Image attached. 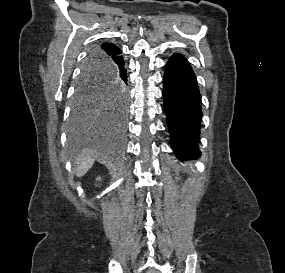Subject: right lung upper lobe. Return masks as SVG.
<instances>
[{"instance_id": "obj_1", "label": "right lung upper lobe", "mask_w": 285, "mask_h": 273, "mask_svg": "<svg viewBox=\"0 0 285 273\" xmlns=\"http://www.w3.org/2000/svg\"><path fill=\"white\" fill-rule=\"evenodd\" d=\"M95 51L105 57H112L121 53V50L117 46L108 42H105L102 45L97 46L95 48Z\"/></svg>"}]
</instances>
